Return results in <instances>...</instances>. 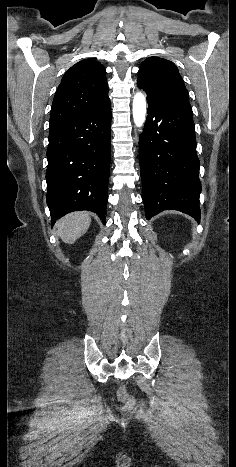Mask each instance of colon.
Wrapping results in <instances>:
<instances>
[{"mask_svg": "<svg viewBox=\"0 0 236 467\" xmlns=\"http://www.w3.org/2000/svg\"><path fill=\"white\" fill-rule=\"evenodd\" d=\"M118 397L125 403L127 409L131 408L134 405V399L129 396L126 392V388L124 385H121L118 390Z\"/></svg>", "mask_w": 236, "mask_h": 467, "instance_id": "obj_1", "label": "colon"}]
</instances>
